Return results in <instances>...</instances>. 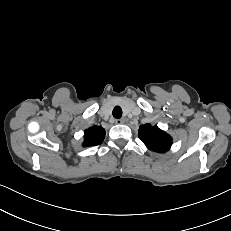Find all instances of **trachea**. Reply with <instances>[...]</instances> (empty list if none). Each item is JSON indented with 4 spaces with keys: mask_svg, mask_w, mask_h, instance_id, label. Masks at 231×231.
I'll return each mask as SVG.
<instances>
[{
    "mask_svg": "<svg viewBox=\"0 0 231 231\" xmlns=\"http://www.w3.org/2000/svg\"><path fill=\"white\" fill-rule=\"evenodd\" d=\"M113 116L115 117V118H121V116H122V109H121V107H119V106H116L114 109H113Z\"/></svg>",
    "mask_w": 231,
    "mask_h": 231,
    "instance_id": "obj_1",
    "label": "trachea"
}]
</instances>
